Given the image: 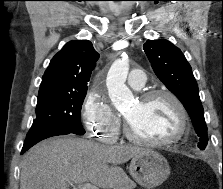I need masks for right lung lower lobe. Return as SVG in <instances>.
I'll return each mask as SVG.
<instances>
[{
  "label": "right lung lower lobe",
  "instance_id": "98d812e1",
  "mask_svg": "<svg viewBox=\"0 0 223 189\" xmlns=\"http://www.w3.org/2000/svg\"><path fill=\"white\" fill-rule=\"evenodd\" d=\"M70 133L74 134L70 130L60 126L32 125L29 132L27 133L21 154H23L41 140L52 136L66 135Z\"/></svg>",
  "mask_w": 223,
  "mask_h": 189
}]
</instances>
